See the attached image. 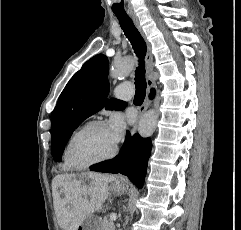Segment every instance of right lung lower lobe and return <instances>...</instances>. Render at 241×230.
<instances>
[{"label":"right lung lower lobe","mask_w":241,"mask_h":230,"mask_svg":"<svg viewBox=\"0 0 241 230\" xmlns=\"http://www.w3.org/2000/svg\"><path fill=\"white\" fill-rule=\"evenodd\" d=\"M154 94H155V90L152 89V90H151V93H150V98H153Z\"/></svg>","instance_id":"right-lung-lower-lobe-1"}]
</instances>
